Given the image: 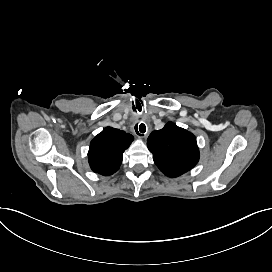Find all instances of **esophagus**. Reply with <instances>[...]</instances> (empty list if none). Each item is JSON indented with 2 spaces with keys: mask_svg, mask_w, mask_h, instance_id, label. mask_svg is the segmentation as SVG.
<instances>
[{
  "mask_svg": "<svg viewBox=\"0 0 272 272\" xmlns=\"http://www.w3.org/2000/svg\"><path fill=\"white\" fill-rule=\"evenodd\" d=\"M135 131H136V128H135ZM139 138H143V135L141 134H138L137 132L135 133Z\"/></svg>",
  "mask_w": 272,
  "mask_h": 272,
  "instance_id": "1",
  "label": "esophagus"
}]
</instances>
